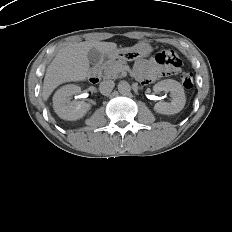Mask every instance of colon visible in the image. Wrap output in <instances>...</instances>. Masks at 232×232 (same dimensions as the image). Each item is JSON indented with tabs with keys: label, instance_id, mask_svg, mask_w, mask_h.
Returning <instances> with one entry per match:
<instances>
[{
	"label": "colon",
	"instance_id": "colon-1",
	"mask_svg": "<svg viewBox=\"0 0 232 232\" xmlns=\"http://www.w3.org/2000/svg\"><path fill=\"white\" fill-rule=\"evenodd\" d=\"M154 60L158 65L175 68L180 70L182 61L178 54L170 49L159 51L155 56ZM181 82L186 89H191L194 84L193 75L189 72H183L181 74Z\"/></svg>",
	"mask_w": 232,
	"mask_h": 232
}]
</instances>
